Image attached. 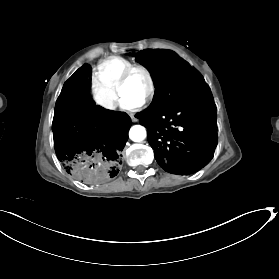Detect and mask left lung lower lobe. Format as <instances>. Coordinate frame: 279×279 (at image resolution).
<instances>
[{
  "mask_svg": "<svg viewBox=\"0 0 279 279\" xmlns=\"http://www.w3.org/2000/svg\"><path fill=\"white\" fill-rule=\"evenodd\" d=\"M147 128L158 164L168 173L188 175L207 165L217 144L216 111L203 86L162 112L136 115Z\"/></svg>",
  "mask_w": 279,
  "mask_h": 279,
  "instance_id": "0a47b994",
  "label": "left lung lower lobe"
}]
</instances>
